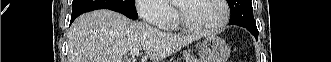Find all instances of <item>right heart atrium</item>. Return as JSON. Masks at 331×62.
Masks as SVG:
<instances>
[{
  "instance_id": "obj_1",
  "label": "right heart atrium",
  "mask_w": 331,
  "mask_h": 62,
  "mask_svg": "<svg viewBox=\"0 0 331 62\" xmlns=\"http://www.w3.org/2000/svg\"><path fill=\"white\" fill-rule=\"evenodd\" d=\"M135 8L143 20L158 28H166L173 23L174 11L164 0H138Z\"/></svg>"
}]
</instances>
